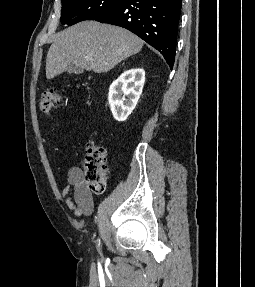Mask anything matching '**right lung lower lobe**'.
Instances as JSON below:
<instances>
[{
    "label": "right lung lower lobe",
    "instance_id": "1",
    "mask_svg": "<svg viewBox=\"0 0 255 287\" xmlns=\"http://www.w3.org/2000/svg\"><path fill=\"white\" fill-rule=\"evenodd\" d=\"M182 0H124L94 20L124 27L157 49L173 68Z\"/></svg>",
    "mask_w": 255,
    "mask_h": 287
}]
</instances>
